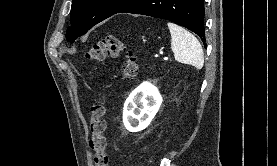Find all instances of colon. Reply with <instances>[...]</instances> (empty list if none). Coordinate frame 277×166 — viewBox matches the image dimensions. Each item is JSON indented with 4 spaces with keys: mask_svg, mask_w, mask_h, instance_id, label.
<instances>
[{
    "mask_svg": "<svg viewBox=\"0 0 277 166\" xmlns=\"http://www.w3.org/2000/svg\"><path fill=\"white\" fill-rule=\"evenodd\" d=\"M124 55L121 63V75L124 78H133L138 71L136 57L127 49L125 43L114 35H108L94 43L86 52L85 57L90 61H103L107 58H117ZM106 99L103 97L91 107L89 129L91 137L89 146L94 151V166H108L109 157L106 152L105 107Z\"/></svg>",
    "mask_w": 277,
    "mask_h": 166,
    "instance_id": "colon-1",
    "label": "colon"
}]
</instances>
